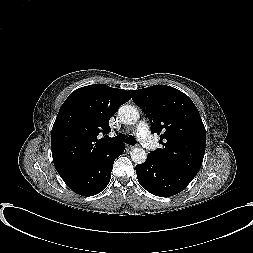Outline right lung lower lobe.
<instances>
[{
  "mask_svg": "<svg viewBox=\"0 0 253 253\" xmlns=\"http://www.w3.org/2000/svg\"><path fill=\"white\" fill-rule=\"evenodd\" d=\"M125 149L124 144H117L88 168L62 177L70 189L82 196H93L103 191L111 178L114 160Z\"/></svg>",
  "mask_w": 253,
  "mask_h": 253,
  "instance_id": "98d812e1",
  "label": "right lung lower lobe"
}]
</instances>
